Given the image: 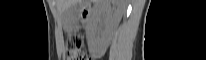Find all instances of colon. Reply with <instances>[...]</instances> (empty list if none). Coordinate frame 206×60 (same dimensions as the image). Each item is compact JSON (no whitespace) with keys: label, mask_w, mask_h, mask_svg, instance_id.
<instances>
[{"label":"colon","mask_w":206,"mask_h":60,"mask_svg":"<svg viewBox=\"0 0 206 60\" xmlns=\"http://www.w3.org/2000/svg\"><path fill=\"white\" fill-rule=\"evenodd\" d=\"M67 57L69 60H90L83 51L82 39L80 36L73 35L68 39Z\"/></svg>","instance_id":"1"}]
</instances>
